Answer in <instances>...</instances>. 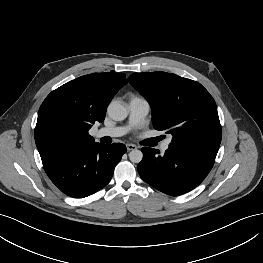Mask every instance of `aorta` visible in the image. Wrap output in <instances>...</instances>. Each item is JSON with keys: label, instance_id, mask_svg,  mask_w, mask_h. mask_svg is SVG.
Returning <instances> with one entry per match:
<instances>
[{"label": "aorta", "instance_id": "762f6f07", "mask_svg": "<svg viewBox=\"0 0 263 263\" xmlns=\"http://www.w3.org/2000/svg\"><path fill=\"white\" fill-rule=\"evenodd\" d=\"M107 113L115 121H122L128 116L126 106L120 101H112L107 108ZM143 158L140 150L134 149L129 153V159L133 163H139Z\"/></svg>", "mask_w": 263, "mask_h": 263}]
</instances>
